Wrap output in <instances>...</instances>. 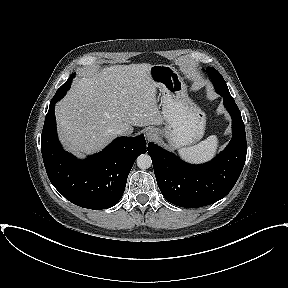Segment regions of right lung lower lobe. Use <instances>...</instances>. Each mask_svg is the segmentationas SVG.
I'll return each instance as SVG.
<instances>
[{
	"mask_svg": "<svg viewBox=\"0 0 288 288\" xmlns=\"http://www.w3.org/2000/svg\"><path fill=\"white\" fill-rule=\"evenodd\" d=\"M56 102H50L41 136L42 157L51 183L77 206L93 210L114 206L123 195L136 158L146 152L144 136L117 138L103 151L80 161L58 141Z\"/></svg>",
	"mask_w": 288,
	"mask_h": 288,
	"instance_id": "98d812e1",
	"label": "right lung lower lobe"
}]
</instances>
